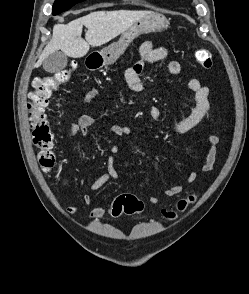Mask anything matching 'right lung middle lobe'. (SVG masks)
I'll list each match as a JSON object with an SVG mask.
<instances>
[{"mask_svg": "<svg viewBox=\"0 0 249 294\" xmlns=\"http://www.w3.org/2000/svg\"><path fill=\"white\" fill-rule=\"evenodd\" d=\"M81 1L85 0H55L52 14L56 15L63 11L69 10L72 6Z\"/></svg>", "mask_w": 249, "mask_h": 294, "instance_id": "1", "label": "right lung middle lobe"}]
</instances>
